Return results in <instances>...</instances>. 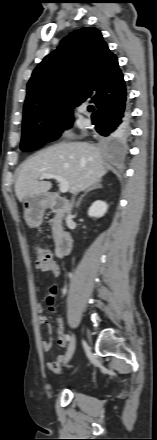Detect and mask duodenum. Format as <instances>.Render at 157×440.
<instances>
[{
	"label": "duodenum",
	"instance_id": "obj_1",
	"mask_svg": "<svg viewBox=\"0 0 157 440\" xmlns=\"http://www.w3.org/2000/svg\"><path fill=\"white\" fill-rule=\"evenodd\" d=\"M48 208L59 214H64L69 207V202L59 195H51L47 199ZM73 235L69 231H61L55 243V253L57 257L67 256L72 249Z\"/></svg>",
	"mask_w": 157,
	"mask_h": 440
}]
</instances>
